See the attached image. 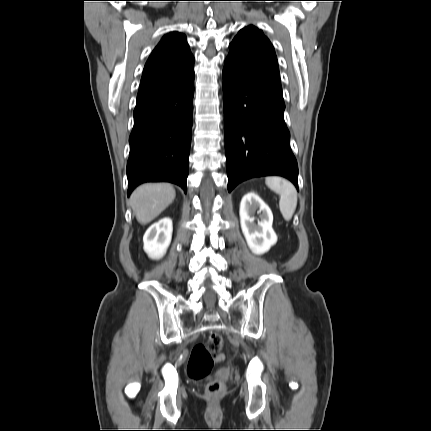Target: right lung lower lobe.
Masks as SVG:
<instances>
[{"label":"right lung lower lobe","instance_id":"1","mask_svg":"<svg viewBox=\"0 0 431 431\" xmlns=\"http://www.w3.org/2000/svg\"><path fill=\"white\" fill-rule=\"evenodd\" d=\"M194 77L174 92L138 105L127 162L128 196L144 182H171L187 191Z\"/></svg>","mask_w":431,"mask_h":431}]
</instances>
